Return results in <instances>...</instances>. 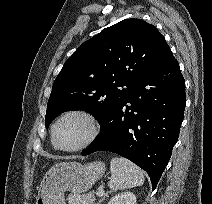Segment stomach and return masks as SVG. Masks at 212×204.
<instances>
[{
  "label": "stomach",
  "mask_w": 212,
  "mask_h": 204,
  "mask_svg": "<svg viewBox=\"0 0 212 204\" xmlns=\"http://www.w3.org/2000/svg\"><path fill=\"white\" fill-rule=\"evenodd\" d=\"M104 172L105 165L101 161L86 165L78 162L56 163L43 177L35 204H65L66 191L85 193Z\"/></svg>",
  "instance_id": "1"
}]
</instances>
